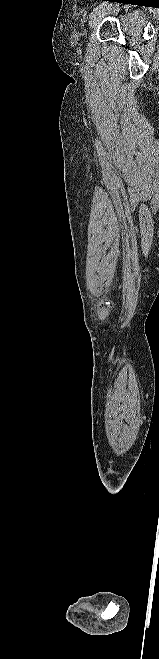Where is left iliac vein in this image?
<instances>
[{"mask_svg":"<svg viewBox=\"0 0 159 659\" xmlns=\"http://www.w3.org/2000/svg\"><path fill=\"white\" fill-rule=\"evenodd\" d=\"M108 12H109V8L106 5L100 8L99 10H97L96 12H94L90 16L89 27L95 28L102 21L105 15H107Z\"/></svg>","mask_w":159,"mask_h":659,"instance_id":"left-iliac-vein-1","label":"left iliac vein"}]
</instances>
